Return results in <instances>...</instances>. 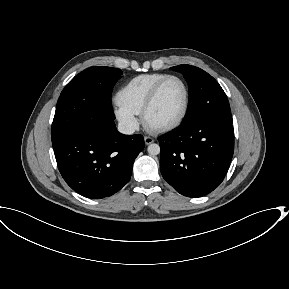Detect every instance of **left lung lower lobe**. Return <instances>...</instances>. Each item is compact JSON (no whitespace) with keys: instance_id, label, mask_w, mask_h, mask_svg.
Segmentation results:
<instances>
[{"instance_id":"left-lung-lower-lobe-1","label":"left lung lower lobe","mask_w":289,"mask_h":289,"mask_svg":"<svg viewBox=\"0 0 289 289\" xmlns=\"http://www.w3.org/2000/svg\"><path fill=\"white\" fill-rule=\"evenodd\" d=\"M158 140L162 176L180 194L201 197L223 181L234 151L232 123L200 118Z\"/></svg>"}]
</instances>
